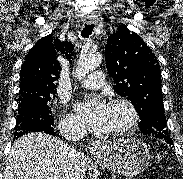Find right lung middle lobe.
<instances>
[{"mask_svg":"<svg viewBox=\"0 0 183 179\" xmlns=\"http://www.w3.org/2000/svg\"><path fill=\"white\" fill-rule=\"evenodd\" d=\"M50 98L43 96L19 100L14 136L53 126Z\"/></svg>","mask_w":183,"mask_h":179,"instance_id":"1","label":"right lung middle lobe"}]
</instances>
